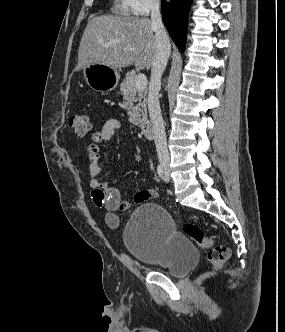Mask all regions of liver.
Segmentation results:
<instances>
[{
  "label": "liver",
  "instance_id": "liver-1",
  "mask_svg": "<svg viewBox=\"0 0 285 332\" xmlns=\"http://www.w3.org/2000/svg\"><path fill=\"white\" fill-rule=\"evenodd\" d=\"M148 18L98 16L92 18L82 35L76 71L95 63L111 68L135 65L152 67L156 38Z\"/></svg>",
  "mask_w": 285,
  "mask_h": 332
}]
</instances>
